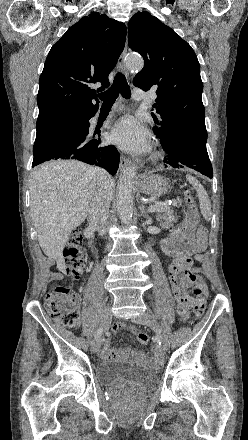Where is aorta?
Segmentation results:
<instances>
[{
    "instance_id": "obj_1",
    "label": "aorta",
    "mask_w": 248,
    "mask_h": 440,
    "mask_svg": "<svg viewBox=\"0 0 248 440\" xmlns=\"http://www.w3.org/2000/svg\"><path fill=\"white\" fill-rule=\"evenodd\" d=\"M144 66L141 57L130 56L126 60V67L131 71H140ZM137 167L131 165L127 167L119 177L116 191V209L120 220L123 223H130L133 216V197L132 188L136 177Z\"/></svg>"
}]
</instances>
